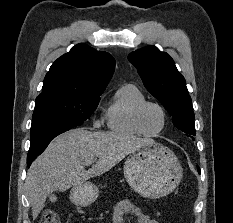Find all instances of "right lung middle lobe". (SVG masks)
Masks as SVG:
<instances>
[{
	"label": "right lung middle lobe",
	"instance_id": "dd1d6c3e",
	"mask_svg": "<svg viewBox=\"0 0 233 223\" xmlns=\"http://www.w3.org/2000/svg\"><path fill=\"white\" fill-rule=\"evenodd\" d=\"M99 103V96L47 94L36 98L29 155L41 154L59 134L83 124Z\"/></svg>",
	"mask_w": 233,
	"mask_h": 223
}]
</instances>
